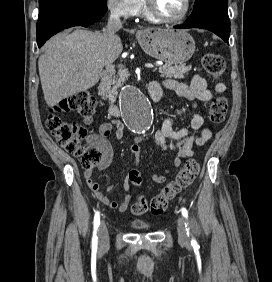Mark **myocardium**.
Returning a JSON list of instances; mask_svg holds the SVG:
<instances>
[{
    "label": "myocardium",
    "instance_id": "1",
    "mask_svg": "<svg viewBox=\"0 0 272 282\" xmlns=\"http://www.w3.org/2000/svg\"><path fill=\"white\" fill-rule=\"evenodd\" d=\"M184 2H185L184 11L180 15L175 16V17H168V16L163 15L153 5L152 0H145V9H146V13L154 19H157L159 21L166 22V23H178L184 20L188 16L191 10V0H184Z\"/></svg>",
    "mask_w": 272,
    "mask_h": 282
}]
</instances>
